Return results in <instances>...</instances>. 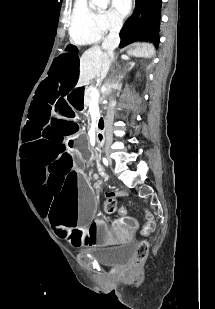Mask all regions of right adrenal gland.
Listing matches in <instances>:
<instances>
[{
    "mask_svg": "<svg viewBox=\"0 0 215 309\" xmlns=\"http://www.w3.org/2000/svg\"><path fill=\"white\" fill-rule=\"evenodd\" d=\"M121 58H124V60H129V56H127V54H122ZM129 64H131V66H134L135 62H129Z\"/></svg>",
    "mask_w": 215,
    "mask_h": 309,
    "instance_id": "1",
    "label": "right adrenal gland"
}]
</instances>
